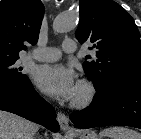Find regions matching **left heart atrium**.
<instances>
[{
  "instance_id": "39dd6f15",
  "label": "left heart atrium",
  "mask_w": 141,
  "mask_h": 139,
  "mask_svg": "<svg viewBox=\"0 0 141 139\" xmlns=\"http://www.w3.org/2000/svg\"><path fill=\"white\" fill-rule=\"evenodd\" d=\"M33 79L42 92L56 99L71 100L77 93L74 73L64 65H42Z\"/></svg>"
}]
</instances>
